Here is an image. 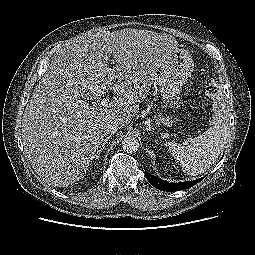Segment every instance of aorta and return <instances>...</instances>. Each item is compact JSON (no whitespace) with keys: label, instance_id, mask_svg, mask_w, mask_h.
<instances>
[{"label":"aorta","instance_id":"obj_1","mask_svg":"<svg viewBox=\"0 0 255 255\" xmlns=\"http://www.w3.org/2000/svg\"><path fill=\"white\" fill-rule=\"evenodd\" d=\"M122 148L127 153H134L139 148V142L133 136L125 137L122 141Z\"/></svg>","mask_w":255,"mask_h":255}]
</instances>
